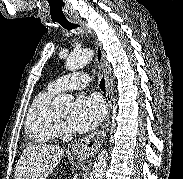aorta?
Wrapping results in <instances>:
<instances>
[{"label":"aorta","mask_w":183,"mask_h":179,"mask_svg":"<svg viewBox=\"0 0 183 179\" xmlns=\"http://www.w3.org/2000/svg\"><path fill=\"white\" fill-rule=\"evenodd\" d=\"M93 57L91 49H85L78 53L70 55L66 60V69L69 71H76L88 64ZM73 97L68 94L58 95L52 102L55 109L69 110L72 107ZM108 152L103 149L98 155L93 169L90 173L89 179H102L107 166Z\"/></svg>","instance_id":"aorta-1"}]
</instances>
